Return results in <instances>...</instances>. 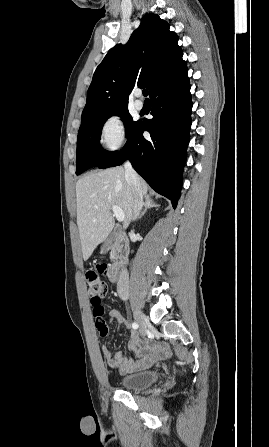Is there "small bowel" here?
<instances>
[{
  "label": "small bowel",
  "instance_id": "c3829d8e",
  "mask_svg": "<svg viewBox=\"0 0 269 447\" xmlns=\"http://www.w3.org/2000/svg\"><path fill=\"white\" fill-rule=\"evenodd\" d=\"M110 319L116 323L118 330L129 328L128 322L117 309L110 310ZM128 345L136 355L135 359L123 356L121 353L113 352L107 344L102 345V353L108 365L117 368L123 373L148 368L168 355L167 348L159 344L148 345L144 348L137 349V335L134 332H131L129 335Z\"/></svg>",
  "mask_w": 269,
  "mask_h": 447
}]
</instances>
